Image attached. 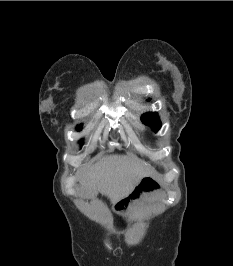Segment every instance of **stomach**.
Here are the masks:
<instances>
[{
  "label": "stomach",
  "mask_w": 233,
  "mask_h": 266,
  "mask_svg": "<svg viewBox=\"0 0 233 266\" xmlns=\"http://www.w3.org/2000/svg\"><path fill=\"white\" fill-rule=\"evenodd\" d=\"M163 184L154 176L147 175L141 178L127 199H121V204H116V209H126V204H131V199L142 200L163 192ZM127 214H134V209H127ZM127 226L126 224L124 225Z\"/></svg>",
  "instance_id": "obj_1"
}]
</instances>
